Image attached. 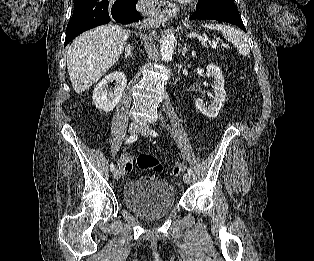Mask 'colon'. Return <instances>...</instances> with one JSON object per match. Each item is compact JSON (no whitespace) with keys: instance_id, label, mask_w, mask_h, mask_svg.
Instances as JSON below:
<instances>
[{"instance_id":"colon-1","label":"colon","mask_w":314,"mask_h":261,"mask_svg":"<svg viewBox=\"0 0 314 261\" xmlns=\"http://www.w3.org/2000/svg\"><path fill=\"white\" fill-rule=\"evenodd\" d=\"M136 163L142 170H150L153 173L150 178H155L157 174L162 170L161 163L152 155L141 154L137 157ZM185 169V164L177 163L173 167V174L180 175Z\"/></svg>"}]
</instances>
